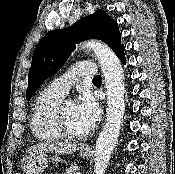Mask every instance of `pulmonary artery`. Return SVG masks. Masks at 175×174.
<instances>
[{"instance_id":"pulmonary-artery-1","label":"pulmonary artery","mask_w":175,"mask_h":174,"mask_svg":"<svg viewBox=\"0 0 175 174\" xmlns=\"http://www.w3.org/2000/svg\"><path fill=\"white\" fill-rule=\"evenodd\" d=\"M96 75L97 68L94 63L89 61L79 62L73 66L71 71L54 79L48 88L64 96L77 81L78 77H94Z\"/></svg>"}]
</instances>
